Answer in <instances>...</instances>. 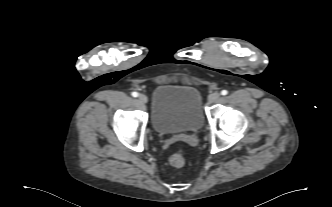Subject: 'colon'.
I'll return each mask as SVG.
<instances>
[{
  "instance_id": "colon-1",
  "label": "colon",
  "mask_w": 332,
  "mask_h": 207,
  "mask_svg": "<svg viewBox=\"0 0 332 207\" xmlns=\"http://www.w3.org/2000/svg\"><path fill=\"white\" fill-rule=\"evenodd\" d=\"M185 163V159L182 153H175L170 157V164L174 167H181Z\"/></svg>"
}]
</instances>
